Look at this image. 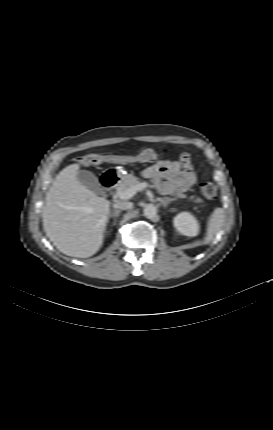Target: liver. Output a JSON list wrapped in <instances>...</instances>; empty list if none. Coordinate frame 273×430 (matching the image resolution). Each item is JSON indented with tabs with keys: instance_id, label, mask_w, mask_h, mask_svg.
I'll return each instance as SVG.
<instances>
[{
	"instance_id": "1",
	"label": "liver",
	"mask_w": 273,
	"mask_h": 430,
	"mask_svg": "<svg viewBox=\"0 0 273 430\" xmlns=\"http://www.w3.org/2000/svg\"><path fill=\"white\" fill-rule=\"evenodd\" d=\"M79 167L71 164L56 176L46 194L42 219L47 237L60 252L87 258L103 243L110 202L78 180Z\"/></svg>"
}]
</instances>
